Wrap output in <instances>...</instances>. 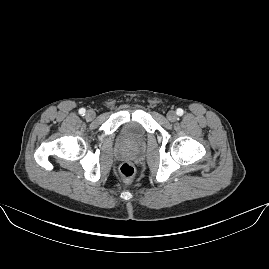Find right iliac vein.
Wrapping results in <instances>:
<instances>
[{"instance_id":"obj_1","label":"right iliac vein","mask_w":269,"mask_h":269,"mask_svg":"<svg viewBox=\"0 0 269 269\" xmlns=\"http://www.w3.org/2000/svg\"><path fill=\"white\" fill-rule=\"evenodd\" d=\"M95 116H96V113L93 110H88L86 112L85 118L87 120H93L95 118Z\"/></svg>"}]
</instances>
